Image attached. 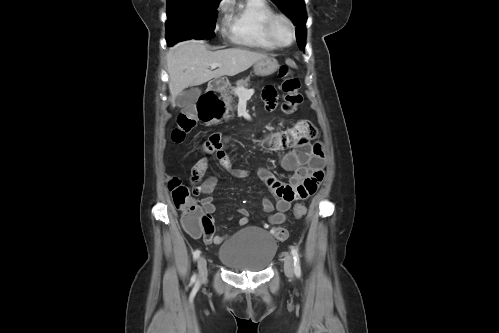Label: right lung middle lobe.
Segmentation results:
<instances>
[{
    "label": "right lung middle lobe",
    "instance_id": "1",
    "mask_svg": "<svg viewBox=\"0 0 499 333\" xmlns=\"http://www.w3.org/2000/svg\"><path fill=\"white\" fill-rule=\"evenodd\" d=\"M221 0H167L166 41L215 36L216 9Z\"/></svg>",
    "mask_w": 499,
    "mask_h": 333
}]
</instances>
